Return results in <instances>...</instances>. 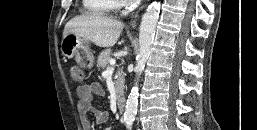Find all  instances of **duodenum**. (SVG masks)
I'll use <instances>...</instances> for the list:
<instances>
[{
  "mask_svg": "<svg viewBox=\"0 0 257 130\" xmlns=\"http://www.w3.org/2000/svg\"><path fill=\"white\" fill-rule=\"evenodd\" d=\"M126 101L123 97L117 99V110L122 113L125 110Z\"/></svg>",
  "mask_w": 257,
  "mask_h": 130,
  "instance_id": "410a0bca",
  "label": "duodenum"
}]
</instances>
